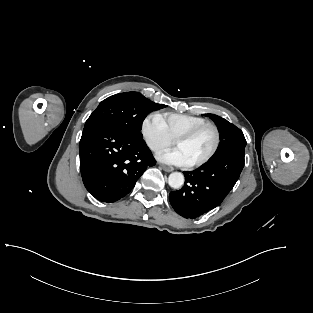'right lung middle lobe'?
Listing matches in <instances>:
<instances>
[{
  "instance_id": "obj_1",
  "label": "right lung middle lobe",
  "mask_w": 313,
  "mask_h": 313,
  "mask_svg": "<svg viewBox=\"0 0 313 313\" xmlns=\"http://www.w3.org/2000/svg\"><path fill=\"white\" fill-rule=\"evenodd\" d=\"M166 107L138 92L119 93L103 100L87 119L84 130L97 125L116 127L130 136L143 139L141 128L145 117L152 111Z\"/></svg>"
}]
</instances>
